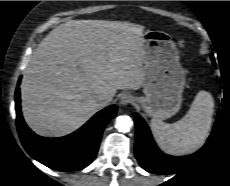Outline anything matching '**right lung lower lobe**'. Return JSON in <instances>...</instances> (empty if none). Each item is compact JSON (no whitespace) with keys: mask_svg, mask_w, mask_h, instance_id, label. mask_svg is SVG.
<instances>
[{"mask_svg":"<svg viewBox=\"0 0 230 186\" xmlns=\"http://www.w3.org/2000/svg\"><path fill=\"white\" fill-rule=\"evenodd\" d=\"M19 89L17 87L15 93L16 120L18 133L26 151L34 159L54 170L71 172L88 166L97 154L102 132L115 116L117 106L112 105L101 110L70 135L45 138L32 132L24 122L20 110Z\"/></svg>","mask_w":230,"mask_h":186,"instance_id":"right-lung-lower-lobe-1","label":"right lung lower lobe"}]
</instances>
